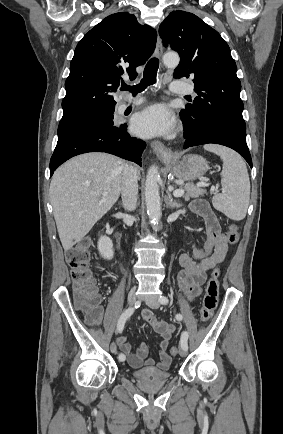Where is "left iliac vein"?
<instances>
[{
	"mask_svg": "<svg viewBox=\"0 0 283 434\" xmlns=\"http://www.w3.org/2000/svg\"><path fill=\"white\" fill-rule=\"evenodd\" d=\"M146 304H147L150 308H152V309H158L159 306H160V301L157 300V299H149V300L146 301ZM180 355H181L182 357H186V356H187V349H183V348H182V349L180 350Z\"/></svg>",
	"mask_w": 283,
	"mask_h": 434,
	"instance_id": "1",
	"label": "left iliac vein"
}]
</instances>
